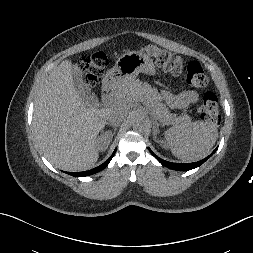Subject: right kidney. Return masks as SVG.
Listing matches in <instances>:
<instances>
[{
    "label": "right kidney",
    "mask_w": 253,
    "mask_h": 253,
    "mask_svg": "<svg viewBox=\"0 0 253 253\" xmlns=\"http://www.w3.org/2000/svg\"><path fill=\"white\" fill-rule=\"evenodd\" d=\"M112 134L111 132L103 133L99 138L96 140L97 149L100 151H105L108 148V145L111 141Z\"/></svg>",
    "instance_id": "obj_1"
}]
</instances>
